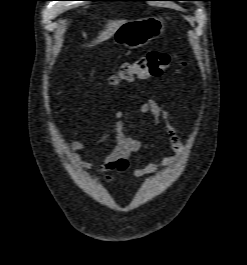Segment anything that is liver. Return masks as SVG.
Listing matches in <instances>:
<instances>
[{"label": "liver", "mask_w": 247, "mask_h": 265, "mask_svg": "<svg viewBox=\"0 0 247 265\" xmlns=\"http://www.w3.org/2000/svg\"><path fill=\"white\" fill-rule=\"evenodd\" d=\"M125 22L126 20L109 21L106 25L105 30L99 33V36L97 37V39H95L90 46H93V45H96L103 41L108 40L111 36L115 34V32L119 29V27Z\"/></svg>", "instance_id": "6515ba94"}]
</instances>
